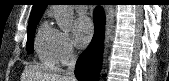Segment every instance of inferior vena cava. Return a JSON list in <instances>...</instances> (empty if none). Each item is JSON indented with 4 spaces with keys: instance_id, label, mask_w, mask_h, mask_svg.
Here are the masks:
<instances>
[{
    "instance_id": "602c4592",
    "label": "inferior vena cava",
    "mask_w": 169,
    "mask_h": 81,
    "mask_svg": "<svg viewBox=\"0 0 169 81\" xmlns=\"http://www.w3.org/2000/svg\"><path fill=\"white\" fill-rule=\"evenodd\" d=\"M77 55L74 53L73 49H71L70 60L68 63V67L66 69V74L74 79V70L76 65Z\"/></svg>"
}]
</instances>
